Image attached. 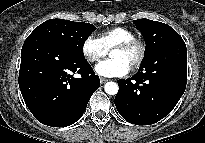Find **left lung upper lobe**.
<instances>
[{
    "label": "left lung upper lobe",
    "mask_w": 205,
    "mask_h": 143,
    "mask_svg": "<svg viewBox=\"0 0 205 143\" xmlns=\"http://www.w3.org/2000/svg\"><path fill=\"white\" fill-rule=\"evenodd\" d=\"M134 24L146 41L145 58L139 70L152 66L157 67V65L166 62L167 58L157 59L155 52L169 41L180 38L179 34L167 24L146 18L134 20Z\"/></svg>",
    "instance_id": "obj_1"
}]
</instances>
